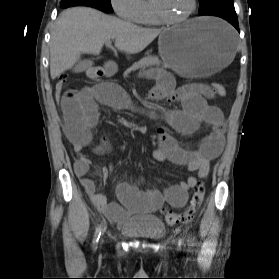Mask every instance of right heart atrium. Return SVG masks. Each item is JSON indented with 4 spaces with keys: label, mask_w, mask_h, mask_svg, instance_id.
Returning a JSON list of instances; mask_svg holds the SVG:
<instances>
[{
    "label": "right heart atrium",
    "mask_w": 279,
    "mask_h": 279,
    "mask_svg": "<svg viewBox=\"0 0 279 279\" xmlns=\"http://www.w3.org/2000/svg\"><path fill=\"white\" fill-rule=\"evenodd\" d=\"M115 13L123 20L136 22L142 10V0H110Z\"/></svg>",
    "instance_id": "right-heart-atrium-1"
}]
</instances>
